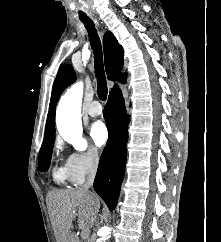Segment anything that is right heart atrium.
I'll return each instance as SVG.
<instances>
[{"mask_svg":"<svg viewBox=\"0 0 221 242\" xmlns=\"http://www.w3.org/2000/svg\"><path fill=\"white\" fill-rule=\"evenodd\" d=\"M57 149L64 152L65 149L61 142L57 143ZM100 154L94 147H89L83 151L66 152L64 166L68 179L73 183H79L84 178L95 172L99 166Z\"/></svg>","mask_w":221,"mask_h":242,"instance_id":"obj_1","label":"right heart atrium"}]
</instances>
